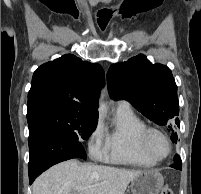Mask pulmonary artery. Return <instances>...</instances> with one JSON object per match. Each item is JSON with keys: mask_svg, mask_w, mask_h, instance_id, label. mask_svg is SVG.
<instances>
[{"mask_svg": "<svg viewBox=\"0 0 201 194\" xmlns=\"http://www.w3.org/2000/svg\"><path fill=\"white\" fill-rule=\"evenodd\" d=\"M120 105H126V106H128V104L125 101L120 102Z\"/></svg>", "mask_w": 201, "mask_h": 194, "instance_id": "e3ab8cb5", "label": "pulmonary artery"}]
</instances>
